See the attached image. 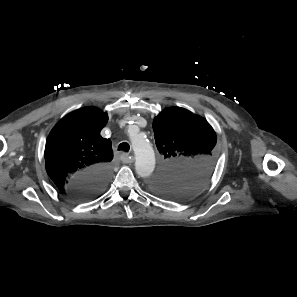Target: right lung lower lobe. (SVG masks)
I'll use <instances>...</instances> for the list:
<instances>
[{
	"label": "right lung lower lobe",
	"instance_id": "obj_1",
	"mask_svg": "<svg viewBox=\"0 0 297 297\" xmlns=\"http://www.w3.org/2000/svg\"><path fill=\"white\" fill-rule=\"evenodd\" d=\"M110 177V168L99 166L75 175L63 192L76 201H84L98 195L106 187Z\"/></svg>",
	"mask_w": 297,
	"mask_h": 297
}]
</instances>
